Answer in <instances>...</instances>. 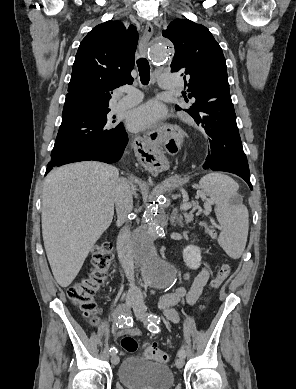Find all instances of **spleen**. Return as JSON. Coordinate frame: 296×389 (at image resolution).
Here are the masks:
<instances>
[{"instance_id": "spleen-1", "label": "spleen", "mask_w": 296, "mask_h": 389, "mask_svg": "<svg viewBox=\"0 0 296 389\" xmlns=\"http://www.w3.org/2000/svg\"><path fill=\"white\" fill-rule=\"evenodd\" d=\"M199 186L216 204L215 213L221 228L219 245L231 258H240L247 242L249 214L238 199L239 185L227 175L209 173L201 178Z\"/></svg>"}]
</instances>
